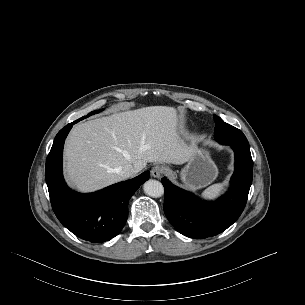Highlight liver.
Returning a JSON list of instances; mask_svg holds the SVG:
<instances>
[{
  "instance_id": "1",
  "label": "liver",
  "mask_w": 305,
  "mask_h": 305,
  "mask_svg": "<svg viewBox=\"0 0 305 305\" xmlns=\"http://www.w3.org/2000/svg\"><path fill=\"white\" fill-rule=\"evenodd\" d=\"M194 150L179 136L173 107H143L74 126L64 148L65 172L72 186L94 191L122 180L118 167L130 164L139 172L148 162L181 164Z\"/></svg>"
}]
</instances>
